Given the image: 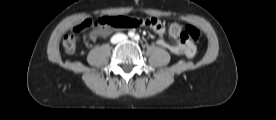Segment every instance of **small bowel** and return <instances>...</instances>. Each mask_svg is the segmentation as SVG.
<instances>
[{"label": "small bowel", "instance_id": "c3829d8e", "mask_svg": "<svg viewBox=\"0 0 276 120\" xmlns=\"http://www.w3.org/2000/svg\"><path fill=\"white\" fill-rule=\"evenodd\" d=\"M154 30L156 31V33L162 34L164 32V26ZM104 34H106V31L104 30H99V29L93 30L90 33V39L92 41H95L97 38H99ZM157 44L159 47L163 49L169 50L170 52L176 55H182L187 58H192L196 52V47L192 42L178 41L177 43L170 44L165 40L160 39L158 40Z\"/></svg>", "mask_w": 276, "mask_h": 120}]
</instances>
